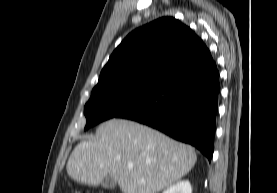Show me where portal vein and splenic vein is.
I'll list each match as a JSON object with an SVG mask.
<instances>
[{
    "mask_svg": "<svg viewBox=\"0 0 277 193\" xmlns=\"http://www.w3.org/2000/svg\"><path fill=\"white\" fill-rule=\"evenodd\" d=\"M128 168H129V169H132V168H133V165H129Z\"/></svg>",
    "mask_w": 277,
    "mask_h": 193,
    "instance_id": "1",
    "label": "portal vein and splenic vein"
}]
</instances>
